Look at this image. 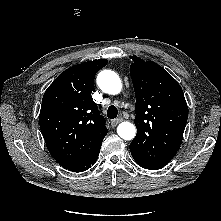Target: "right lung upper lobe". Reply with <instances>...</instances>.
Segmentation results:
<instances>
[{
    "label": "right lung upper lobe",
    "instance_id": "obj_1",
    "mask_svg": "<svg viewBox=\"0 0 221 221\" xmlns=\"http://www.w3.org/2000/svg\"><path fill=\"white\" fill-rule=\"evenodd\" d=\"M107 60L75 65L46 90L39 115L40 129L52 157L64 168L78 162L107 134L105 119L91 97L94 77Z\"/></svg>",
    "mask_w": 221,
    "mask_h": 221
}]
</instances>
